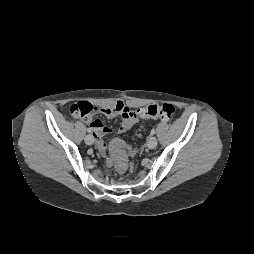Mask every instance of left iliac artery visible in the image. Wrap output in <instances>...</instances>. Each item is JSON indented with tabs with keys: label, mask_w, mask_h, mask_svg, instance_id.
<instances>
[{
	"label": "left iliac artery",
	"mask_w": 254,
	"mask_h": 254,
	"mask_svg": "<svg viewBox=\"0 0 254 254\" xmlns=\"http://www.w3.org/2000/svg\"><path fill=\"white\" fill-rule=\"evenodd\" d=\"M150 133H151V135H154L155 134V129H152Z\"/></svg>",
	"instance_id": "1"
}]
</instances>
